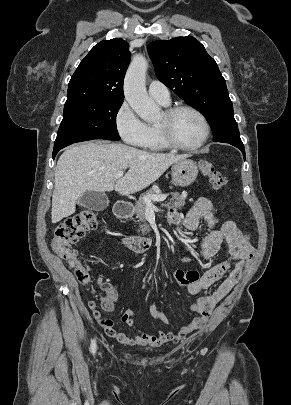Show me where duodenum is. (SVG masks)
Segmentation results:
<instances>
[{
    "label": "duodenum",
    "mask_w": 291,
    "mask_h": 405,
    "mask_svg": "<svg viewBox=\"0 0 291 405\" xmlns=\"http://www.w3.org/2000/svg\"><path fill=\"white\" fill-rule=\"evenodd\" d=\"M131 212L132 206L129 202L119 201L115 206V215L120 219L127 218ZM122 240L127 247L135 252H145L151 246V240L144 237L123 234Z\"/></svg>",
    "instance_id": "1"
}]
</instances>
